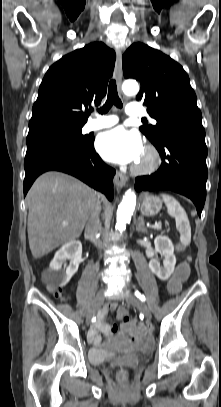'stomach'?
Listing matches in <instances>:
<instances>
[{
	"label": "stomach",
	"mask_w": 221,
	"mask_h": 407,
	"mask_svg": "<svg viewBox=\"0 0 221 407\" xmlns=\"http://www.w3.org/2000/svg\"><path fill=\"white\" fill-rule=\"evenodd\" d=\"M162 208V201L159 197L153 195H145L141 205V213L145 216H153L158 214Z\"/></svg>",
	"instance_id": "stomach-1"
}]
</instances>
